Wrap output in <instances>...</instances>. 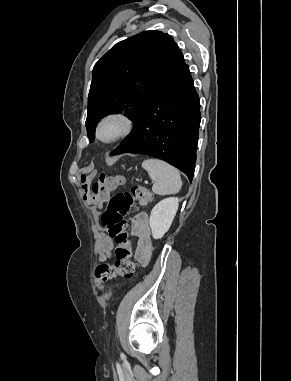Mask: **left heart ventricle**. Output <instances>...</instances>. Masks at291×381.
Wrapping results in <instances>:
<instances>
[{
	"label": "left heart ventricle",
	"mask_w": 291,
	"mask_h": 381,
	"mask_svg": "<svg viewBox=\"0 0 291 381\" xmlns=\"http://www.w3.org/2000/svg\"><path fill=\"white\" fill-rule=\"evenodd\" d=\"M119 129V124L117 122L106 123L101 130V136L105 139L113 136Z\"/></svg>",
	"instance_id": "left-heart-ventricle-1"
}]
</instances>
